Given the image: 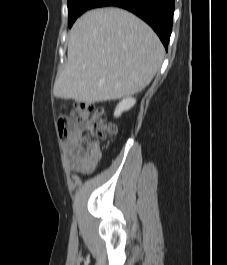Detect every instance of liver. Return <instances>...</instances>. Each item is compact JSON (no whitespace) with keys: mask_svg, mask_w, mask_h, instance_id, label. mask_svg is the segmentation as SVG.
I'll return each instance as SVG.
<instances>
[{"mask_svg":"<svg viewBox=\"0 0 227 265\" xmlns=\"http://www.w3.org/2000/svg\"><path fill=\"white\" fill-rule=\"evenodd\" d=\"M67 55L54 94L91 103L143 90L161 67L164 47L155 32L132 13L103 8L85 13L74 23Z\"/></svg>","mask_w":227,"mask_h":265,"instance_id":"1","label":"liver"}]
</instances>
